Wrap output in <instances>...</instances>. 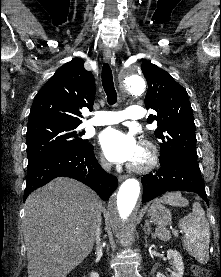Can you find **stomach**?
Instances as JSON below:
<instances>
[{
    "instance_id": "obj_1",
    "label": "stomach",
    "mask_w": 221,
    "mask_h": 277,
    "mask_svg": "<svg viewBox=\"0 0 221 277\" xmlns=\"http://www.w3.org/2000/svg\"><path fill=\"white\" fill-rule=\"evenodd\" d=\"M150 220L161 227L171 223L172 215L169 209L155 201L148 210Z\"/></svg>"
}]
</instances>
